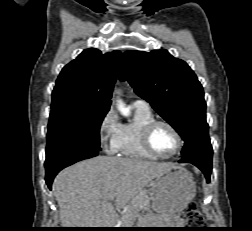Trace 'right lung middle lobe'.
I'll return each instance as SVG.
<instances>
[{"mask_svg": "<svg viewBox=\"0 0 252 231\" xmlns=\"http://www.w3.org/2000/svg\"><path fill=\"white\" fill-rule=\"evenodd\" d=\"M108 110L64 101L52 102L46 157L70 149L100 151L99 130Z\"/></svg>", "mask_w": 252, "mask_h": 231, "instance_id": "obj_1", "label": "right lung middle lobe"}]
</instances>
